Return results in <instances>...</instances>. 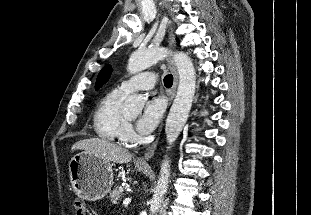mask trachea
Instances as JSON below:
<instances>
[{"label": "trachea", "instance_id": "obj_1", "mask_svg": "<svg viewBox=\"0 0 311 215\" xmlns=\"http://www.w3.org/2000/svg\"><path fill=\"white\" fill-rule=\"evenodd\" d=\"M172 84H173V76L171 74L166 75L164 77V85L169 88L172 86Z\"/></svg>", "mask_w": 311, "mask_h": 215}]
</instances>
